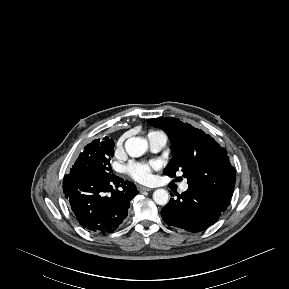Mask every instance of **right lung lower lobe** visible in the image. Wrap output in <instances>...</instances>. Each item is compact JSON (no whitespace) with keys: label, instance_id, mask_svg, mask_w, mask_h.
<instances>
[{"label":"right lung lower lobe","instance_id":"obj_1","mask_svg":"<svg viewBox=\"0 0 289 289\" xmlns=\"http://www.w3.org/2000/svg\"><path fill=\"white\" fill-rule=\"evenodd\" d=\"M121 182L115 175L96 178L76 169L65 175L64 194L82 227L96 233H113L123 222L138 191L129 181L121 184V191L114 190L112 185L118 187Z\"/></svg>","mask_w":289,"mask_h":289}]
</instances>
